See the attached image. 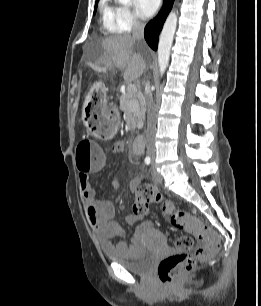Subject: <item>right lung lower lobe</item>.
I'll use <instances>...</instances> for the list:
<instances>
[{
	"instance_id": "98d812e1",
	"label": "right lung lower lobe",
	"mask_w": 261,
	"mask_h": 306,
	"mask_svg": "<svg viewBox=\"0 0 261 306\" xmlns=\"http://www.w3.org/2000/svg\"><path fill=\"white\" fill-rule=\"evenodd\" d=\"M174 0H164V6L158 16L151 20L145 27L144 36L149 46L156 50L158 45V35L163 23L169 14Z\"/></svg>"
}]
</instances>
